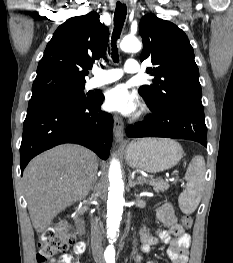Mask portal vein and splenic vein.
<instances>
[{
  "instance_id": "18ae733b",
  "label": "portal vein and splenic vein",
  "mask_w": 233,
  "mask_h": 263,
  "mask_svg": "<svg viewBox=\"0 0 233 263\" xmlns=\"http://www.w3.org/2000/svg\"><path fill=\"white\" fill-rule=\"evenodd\" d=\"M138 180H140V181H144L145 178H143V177H139Z\"/></svg>"
}]
</instances>
